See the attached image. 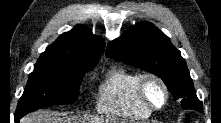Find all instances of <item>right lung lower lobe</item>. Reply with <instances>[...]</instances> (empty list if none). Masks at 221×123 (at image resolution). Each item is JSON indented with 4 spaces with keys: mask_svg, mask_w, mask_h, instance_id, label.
<instances>
[{
    "mask_svg": "<svg viewBox=\"0 0 221 123\" xmlns=\"http://www.w3.org/2000/svg\"><path fill=\"white\" fill-rule=\"evenodd\" d=\"M24 114L15 113V120H19Z\"/></svg>",
    "mask_w": 221,
    "mask_h": 123,
    "instance_id": "right-lung-lower-lobe-1",
    "label": "right lung lower lobe"
}]
</instances>
